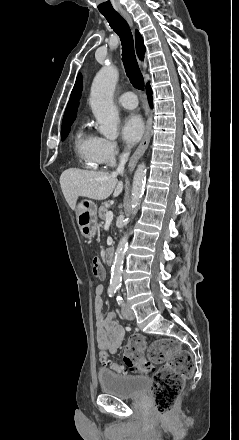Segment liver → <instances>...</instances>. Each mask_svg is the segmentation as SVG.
<instances>
[{"instance_id": "liver-1", "label": "liver", "mask_w": 239, "mask_h": 440, "mask_svg": "<svg viewBox=\"0 0 239 440\" xmlns=\"http://www.w3.org/2000/svg\"><path fill=\"white\" fill-rule=\"evenodd\" d=\"M60 186L71 210H76L79 196L91 200H106L111 194L113 198H117L124 188L123 182H118L116 174L90 172L78 168L65 170L60 176Z\"/></svg>"}]
</instances>
